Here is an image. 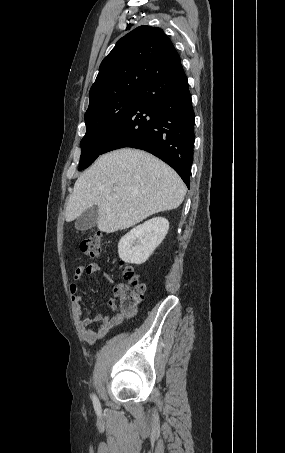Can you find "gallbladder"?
I'll return each instance as SVG.
<instances>
[{"mask_svg":"<svg viewBox=\"0 0 285 453\" xmlns=\"http://www.w3.org/2000/svg\"><path fill=\"white\" fill-rule=\"evenodd\" d=\"M99 219V210L92 206L85 210L75 221V228L79 231L88 230L94 227Z\"/></svg>","mask_w":285,"mask_h":453,"instance_id":"obj_1","label":"gallbladder"}]
</instances>
